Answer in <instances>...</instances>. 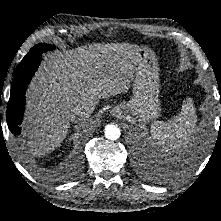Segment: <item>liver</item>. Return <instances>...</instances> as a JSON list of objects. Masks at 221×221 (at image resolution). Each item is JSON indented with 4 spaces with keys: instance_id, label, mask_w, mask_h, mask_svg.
I'll return each instance as SVG.
<instances>
[{
    "instance_id": "liver-1",
    "label": "liver",
    "mask_w": 221,
    "mask_h": 221,
    "mask_svg": "<svg viewBox=\"0 0 221 221\" xmlns=\"http://www.w3.org/2000/svg\"><path fill=\"white\" fill-rule=\"evenodd\" d=\"M140 48L129 43L96 44L48 53L27 92L23 123L33 155H45L64 140L82 101L128 89Z\"/></svg>"
}]
</instances>
